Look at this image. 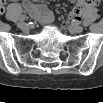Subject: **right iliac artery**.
Returning a JSON list of instances; mask_svg holds the SVG:
<instances>
[{
  "label": "right iliac artery",
  "instance_id": "82829eb1",
  "mask_svg": "<svg viewBox=\"0 0 103 103\" xmlns=\"http://www.w3.org/2000/svg\"><path fill=\"white\" fill-rule=\"evenodd\" d=\"M25 19H27V17H26L25 15H22V16L20 17V20H21V21H24Z\"/></svg>",
  "mask_w": 103,
  "mask_h": 103
}]
</instances>
